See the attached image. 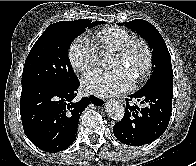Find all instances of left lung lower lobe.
<instances>
[{
    "label": "left lung lower lobe",
    "mask_w": 196,
    "mask_h": 166,
    "mask_svg": "<svg viewBox=\"0 0 196 166\" xmlns=\"http://www.w3.org/2000/svg\"><path fill=\"white\" fill-rule=\"evenodd\" d=\"M172 83H155L126 98L123 119L113 127L115 137L130 146H142L160 137L166 130L172 112ZM134 98L144 104L139 108L128 101Z\"/></svg>",
    "instance_id": "0a47b994"
}]
</instances>
